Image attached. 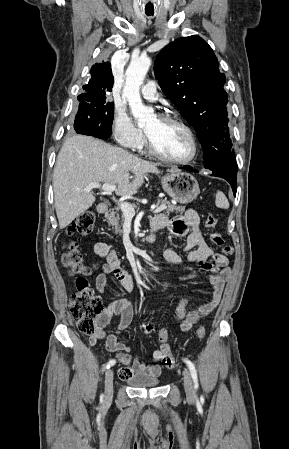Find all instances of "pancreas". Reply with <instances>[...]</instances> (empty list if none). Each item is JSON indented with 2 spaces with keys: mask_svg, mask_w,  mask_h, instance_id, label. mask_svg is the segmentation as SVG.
<instances>
[{
  "mask_svg": "<svg viewBox=\"0 0 289 449\" xmlns=\"http://www.w3.org/2000/svg\"><path fill=\"white\" fill-rule=\"evenodd\" d=\"M157 204H161V205H166V211L167 213H172V212H176V213H180L182 214L185 211V207L183 206H176L171 204L169 201L167 200H158ZM133 208L136 207V205L134 203L130 204ZM107 222L110 226L113 227V229L115 230L116 233L122 234V223L120 224V220H124V215H119L118 212L112 211L107 217Z\"/></svg>",
  "mask_w": 289,
  "mask_h": 449,
  "instance_id": "obj_1",
  "label": "pancreas"
}]
</instances>
